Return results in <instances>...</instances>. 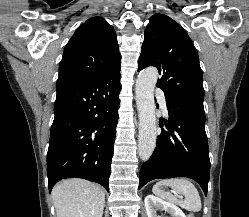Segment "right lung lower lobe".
I'll return each mask as SVG.
<instances>
[{
	"instance_id": "obj_1",
	"label": "right lung lower lobe",
	"mask_w": 249,
	"mask_h": 217,
	"mask_svg": "<svg viewBox=\"0 0 249 217\" xmlns=\"http://www.w3.org/2000/svg\"><path fill=\"white\" fill-rule=\"evenodd\" d=\"M120 68L95 79L57 81L47 153L48 187L78 177L109 191L119 109Z\"/></svg>"
}]
</instances>
